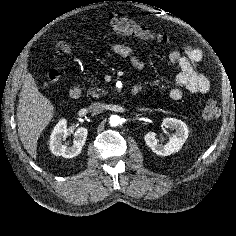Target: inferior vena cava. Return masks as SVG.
Segmentation results:
<instances>
[{"instance_id":"inferior-vena-cava-1","label":"inferior vena cava","mask_w":236,"mask_h":236,"mask_svg":"<svg viewBox=\"0 0 236 236\" xmlns=\"http://www.w3.org/2000/svg\"><path fill=\"white\" fill-rule=\"evenodd\" d=\"M89 111L93 114H99L104 110V104L100 102L91 103L88 107Z\"/></svg>"}]
</instances>
